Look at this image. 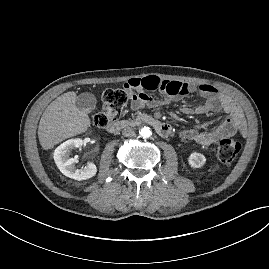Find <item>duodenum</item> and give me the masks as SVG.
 Listing matches in <instances>:
<instances>
[{"label":"duodenum","instance_id":"duodenum-1","mask_svg":"<svg viewBox=\"0 0 269 269\" xmlns=\"http://www.w3.org/2000/svg\"><path fill=\"white\" fill-rule=\"evenodd\" d=\"M140 122L153 126L157 131V133L163 137H167L172 133V128L169 124L161 122L153 118L152 116H144L140 119ZM136 123L137 121H128V120L115 121L110 123L107 129L111 133H116L127 126H131Z\"/></svg>","mask_w":269,"mask_h":269}]
</instances>
